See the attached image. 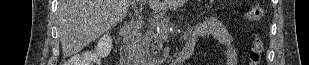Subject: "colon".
I'll list each match as a JSON object with an SVG mask.
<instances>
[{
	"label": "colon",
	"instance_id": "5ec220e1",
	"mask_svg": "<svg viewBox=\"0 0 309 65\" xmlns=\"http://www.w3.org/2000/svg\"><path fill=\"white\" fill-rule=\"evenodd\" d=\"M248 18L252 21H261L264 18V9L262 5L255 1L248 11ZM112 49V41L110 38H101L96 43L95 49L92 51H83L79 56L72 59V63L76 65H95L107 57ZM264 49V42L261 37H255L252 41V47L249 53L250 65H259L261 54Z\"/></svg>",
	"mask_w": 309,
	"mask_h": 65
}]
</instances>
